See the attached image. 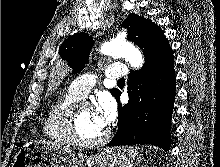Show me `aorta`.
<instances>
[{
  "instance_id": "obj_1",
  "label": "aorta",
  "mask_w": 220,
  "mask_h": 167,
  "mask_svg": "<svg viewBox=\"0 0 220 167\" xmlns=\"http://www.w3.org/2000/svg\"><path fill=\"white\" fill-rule=\"evenodd\" d=\"M101 53L114 57H122L132 68L142 67L144 58L141 52L124 38L117 37L105 42L100 47Z\"/></svg>"
}]
</instances>
